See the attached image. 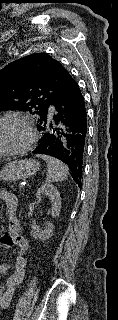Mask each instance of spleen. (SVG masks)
Returning a JSON list of instances; mask_svg holds the SVG:
<instances>
[{"mask_svg":"<svg viewBox=\"0 0 118 320\" xmlns=\"http://www.w3.org/2000/svg\"><path fill=\"white\" fill-rule=\"evenodd\" d=\"M41 158L47 164V176L46 183H54L59 181H64L68 177L69 168L60 160L43 155Z\"/></svg>","mask_w":118,"mask_h":320,"instance_id":"3e777b00","label":"spleen"}]
</instances>
